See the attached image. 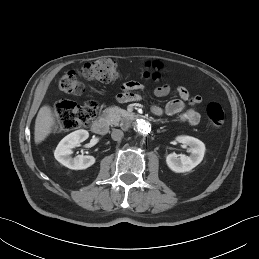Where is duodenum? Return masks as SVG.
Segmentation results:
<instances>
[{
  "label": "duodenum",
  "instance_id": "410a0bca",
  "mask_svg": "<svg viewBox=\"0 0 259 259\" xmlns=\"http://www.w3.org/2000/svg\"><path fill=\"white\" fill-rule=\"evenodd\" d=\"M127 117L131 121L137 120V115L135 113H128ZM108 122L105 118L99 117L92 123V130L98 135H104L108 131Z\"/></svg>",
  "mask_w": 259,
  "mask_h": 259
}]
</instances>
